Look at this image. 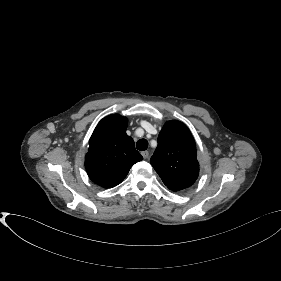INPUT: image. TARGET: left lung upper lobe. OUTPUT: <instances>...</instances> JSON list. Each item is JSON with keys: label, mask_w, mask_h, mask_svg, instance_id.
<instances>
[{"label": "left lung upper lobe", "mask_w": 281, "mask_h": 281, "mask_svg": "<svg viewBox=\"0 0 281 281\" xmlns=\"http://www.w3.org/2000/svg\"><path fill=\"white\" fill-rule=\"evenodd\" d=\"M150 163L172 191L194 184L199 175V163L195 140L185 124L173 120L164 125Z\"/></svg>", "instance_id": "left-lung-upper-lobe-1"}]
</instances>
